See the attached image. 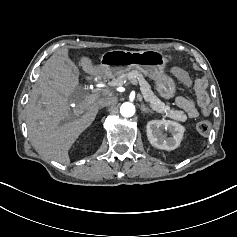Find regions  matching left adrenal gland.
<instances>
[{
    "instance_id": "obj_1",
    "label": "left adrenal gland",
    "mask_w": 237,
    "mask_h": 237,
    "mask_svg": "<svg viewBox=\"0 0 237 237\" xmlns=\"http://www.w3.org/2000/svg\"><path fill=\"white\" fill-rule=\"evenodd\" d=\"M140 109L143 113H149L152 112V110L148 109L142 102H141V106Z\"/></svg>"
}]
</instances>
